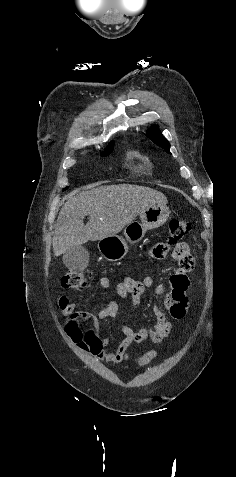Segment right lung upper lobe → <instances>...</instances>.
I'll list each match as a JSON object with an SVG mask.
<instances>
[{
	"mask_svg": "<svg viewBox=\"0 0 236 477\" xmlns=\"http://www.w3.org/2000/svg\"><path fill=\"white\" fill-rule=\"evenodd\" d=\"M113 145H114V143H113V142H111V143L109 144V146L107 147V149H106V150H112V149H113Z\"/></svg>",
	"mask_w": 236,
	"mask_h": 477,
	"instance_id": "cb5924a9",
	"label": "right lung upper lobe"
}]
</instances>
